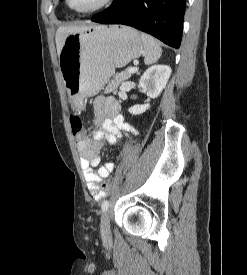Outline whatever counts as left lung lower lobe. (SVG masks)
Returning a JSON list of instances; mask_svg holds the SVG:
<instances>
[{"mask_svg": "<svg viewBox=\"0 0 247 275\" xmlns=\"http://www.w3.org/2000/svg\"><path fill=\"white\" fill-rule=\"evenodd\" d=\"M186 0H114L91 19L101 24H123L151 34L179 48Z\"/></svg>", "mask_w": 247, "mask_h": 275, "instance_id": "0a47b994", "label": "left lung lower lobe"}]
</instances>
